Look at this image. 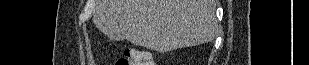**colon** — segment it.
Instances as JSON below:
<instances>
[{"label":"colon","instance_id":"colon-1","mask_svg":"<svg viewBox=\"0 0 309 65\" xmlns=\"http://www.w3.org/2000/svg\"><path fill=\"white\" fill-rule=\"evenodd\" d=\"M150 57V52L126 48L123 56L118 60V65H152V63L145 62Z\"/></svg>","mask_w":309,"mask_h":65}]
</instances>
